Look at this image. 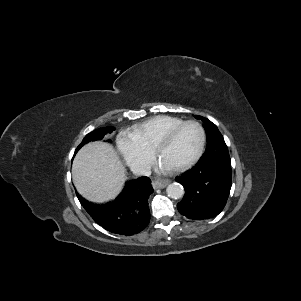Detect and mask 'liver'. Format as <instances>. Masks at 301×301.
Segmentation results:
<instances>
[{
  "label": "liver",
  "instance_id": "6515ba94",
  "mask_svg": "<svg viewBox=\"0 0 301 301\" xmlns=\"http://www.w3.org/2000/svg\"><path fill=\"white\" fill-rule=\"evenodd\" d=\"M72 176L77 191L96 203L114 199L126 179L119 156L111 145L101 141L80 149L73 161Z\"/></svg>",
  "mask_w": 301,
  "mask_h": 301
}]
</instances>
